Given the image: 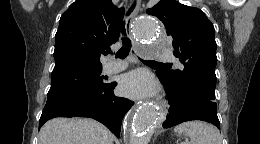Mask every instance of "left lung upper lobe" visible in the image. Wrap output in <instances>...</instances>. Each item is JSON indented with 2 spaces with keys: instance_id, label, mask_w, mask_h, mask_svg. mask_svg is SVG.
<instances>
[{
  "instance_id": "left-lung-upper-lobe-1",
  "label": "left lung upper lobe",
  "mask_w": 260,
  "mask_h": 144,
  "mask_svg": "<svg viewBox=\"0 0 260 144\" xmlns=\"http://www.w3.org/2000/svg\"><path fill=\"white\" fill-rule=\"evenodd\" d=\"M147 13L163 22L167 35L172 39L174 55L184 65L183 70L168 69L158 73L175 88L194 82L215 91V30L206 15L198 8L175 0H161L147 9Z\"/></svg>"
}]
</instances>
